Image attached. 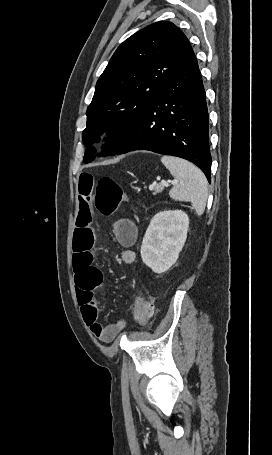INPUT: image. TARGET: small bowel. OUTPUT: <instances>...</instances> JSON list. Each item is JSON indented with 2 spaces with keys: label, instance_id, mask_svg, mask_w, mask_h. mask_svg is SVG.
Wrapping results in <instances>:
<instances>
[{
  "label": "small bowel",
  "instance_id": "small-bowel-1",
  "mask_svg": "<svg viewBox=\"0 0 272 455\" xmlns=\"http://www.w3.org/2000/svg\"><path fill=\"white\" fill-rule=\"evenodd\" d=\"M96 187L95 176L83 172L78 178L79 213L74 233L73 268L76 275V290L83 318L92 333L105 343L111 342L123 329L124 321L102 325L98 322V298L102 293L104 279L95 265L93 245L94 233L91 227L92 212L90 200ZM114 236L122 248L121 260L133 264L136 254L132 246L137 240V228L129 219H119L113 225Z\"/></svg>",
  "mask_w": 272,
  "mask_h": 455
}]
</instances>
